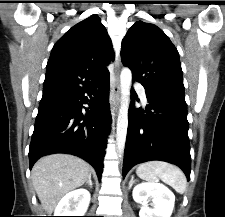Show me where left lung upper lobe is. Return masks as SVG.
Wrapping results in <instances>:
<instances>
[{
    "mask_svg": "<svg viewBox=\"0 0 225 217\" xmlns=\"http://www.w3.org/2000/svg\"><path fill=\"white\" fill-rule=\"evenodd\" d=\"M122 63L146 92L184 96L179 53L156 25L137 21L122 41Z\"/></svg>",
    "mask_w": 225,
    "mask_h": 217,
    "instance_id": "1",
    "label": "left lung upper lobe"
}]
</instances>
